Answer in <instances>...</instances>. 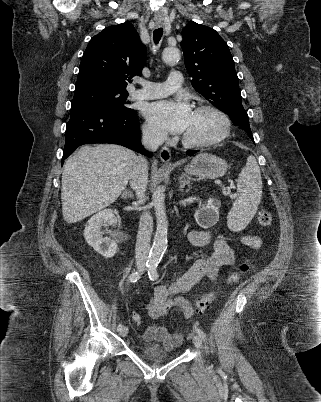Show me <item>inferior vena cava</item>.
<instances>
[{
    "label": "inferior vena cava",
    "instance_id": "1",
    "mask_svg": "<svg viewBox=\"0 0 321 402\" xmlns=\"http://www.w3.org/2000/svg\"><path fill=\"white\" fill-rule=\"evenodd\" d=\"M166 134L152 128L143 129L142 144L151 151H156L163 143ZM148 183V162L139 156L130 175V185L136 192L138 203L145 201V191ZM153 228V218L150 212L145 211L140 217L139 230L135 247V260L137 266L144 267L148 260L150 240Z\"/></svg>",
    "mask_w": 321,
    "mask_h": 402
}]
</instances>
